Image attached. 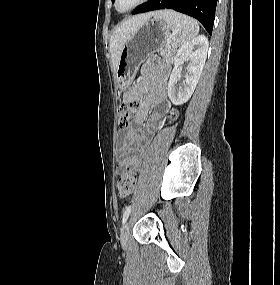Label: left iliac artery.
<instances>
[{
  "instance_id": "1",
  "label": "left iliac artery",
  "mask_w": 280,
  "mask_h": 285,
  "mask_svg": "<svg viewBox=\"0 0 280 285\" xmlns=\"http://www.w3.org/2000/svg\"><path fill=\"white\" fill-rule=\"evenodd\" d=\"M130 211H131V205L128 206L125 211L123 212V218H122V223L125 224V222L127 221L128 217H129V214H130Z\"/></svg>"
}]
</instances>
